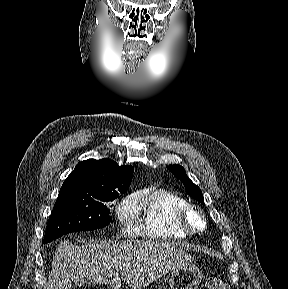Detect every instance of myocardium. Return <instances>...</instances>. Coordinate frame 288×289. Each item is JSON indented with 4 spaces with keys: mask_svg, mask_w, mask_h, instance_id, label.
<instances>
[{
    "mask_svg": "<svg viewBox=\"0 0 288 289\" xmlns=\"http://www.w3.org/2000/svg\"><path fill=\"white\" fill-rule=\"evenodd\" d=\"M191 214L198 216L200 220L199 225H194L191 221ZM179 219L183 227L190 234H197L207 229V219L204 211L195 204H186L179 210Z\"/></svg>",
    "mask_w": 288,
    "mask_h": 289,
    "instance_id": "1",
    "label": "myocardium"
}]
</instances>
